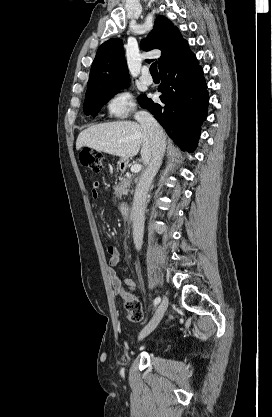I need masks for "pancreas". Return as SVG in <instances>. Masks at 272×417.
<instances>
[{
  "label": "pancreas",
  "mask_w": 272,
  "mask_h": 417,
  "mask_svg": "<svg viewBox=\"0 0 272 417\" xmlns=\"http://www.w3.org/2000/svg\"><path fill=\"white\" fill-rule=\"evenodd\" d=\"M132 182V178L129 174L124 175L121 178V181L114 186V194L116 197L121 198L123 192H126L129 190L130 185Z\"/></svg>",
  "instance_id": "obj_1"
}]
</instances>
